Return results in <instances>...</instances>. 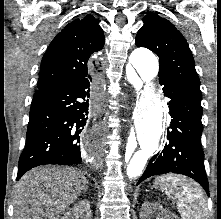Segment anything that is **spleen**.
Returning a JSON list of instances; mask_svg holds the SVG:
<instances>
[{
	"label": "spleen",
	"instance_id": "spleen-1",
	"mask_svg": "<svg viewBox=\"0 0 221 219\" xmlns=\"http://www.w3.org/2000/svg\"><path fill=\"white\" fill-rule=\"evenodd\" d=\"M155 186L178 201V211L182 219H207L208 209L203 192L194 181L170 174L157 178Z\"/></svg>",
	"mask_w": 221,
	"mask_h": 219
}]
</instances>
